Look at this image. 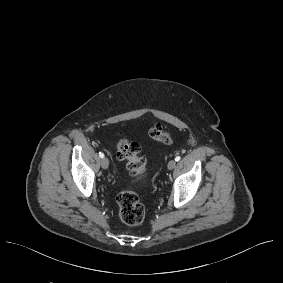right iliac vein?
Returning <instances> with one entry per match:
<instances>
[{"instance_id":"1","label":"right iliac vein","mask_w":283,"mask_h":283,"mask_svg":"<svg viewBox=\"0 0 283 283\" xmlns=\"http://www.w3.org/2000/svg\"><path fill=\"white\" fill-rule=\"evenodd\" d=\"M101 166L103 169H107L109 166V162L108 159L106 157H103L101 160Z\"/></svg>"}]
</instances>
